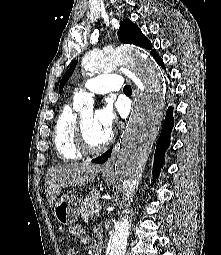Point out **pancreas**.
<instances>
[{
  "label": "pancreas",
  "mask_w": 221,
  "mask_h": 255,
  "mask_svg": "<svg viewBox=\"0 0 221 255\" xmlns=\"http://www.w3.org/2000/svg\"><path fill=\"white\" fill-rule=\"evenodd\" d=\"M101 194L98 190H93L85 196L81 206V216L83 220L87 221L93 217L95 213V206L98 203Z\"/></svg>",
  "instance_id": "pancreas-1"
}]
</instances>
